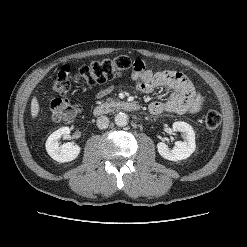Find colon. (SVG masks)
<instances>
[{
    "label": "colon",
    "mask_w": 247,
    "mask_h": 247,
    "mask_svg": "<svg viewBox=\"0 0 247 247\" xmlns=\"http://www.w3.org/2000/svg\"><path fill=\"white\" fill-rule=\"evenodd\" d=\"M130 68L146 69L142 60H133L128 56L103 58L85 65L71 75L69 66H64L52 81V91L60 97L49 100V110L56 121H68L81 110L79 104H72L66 95L70 93L73 82H80L87 86L104 84L114 78L121 77ZM205 125L209 129H216L221 123V114L217 110H209L205 115Z\"/></svg>",
    "instance_id": "1"
}]
</instances>
